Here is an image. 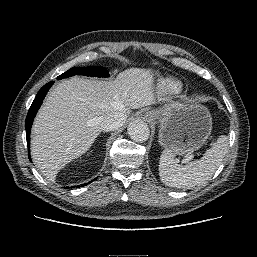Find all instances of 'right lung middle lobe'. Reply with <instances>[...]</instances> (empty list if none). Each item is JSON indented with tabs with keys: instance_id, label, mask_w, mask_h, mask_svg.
Returning <instances> with one entry per match:
<instances>
[{
	"instance_id": "1",
	"label": "right lung middle lobe",
	"mask_w": 257,
	"mask_h": 257,
	"mask_svg": "<svg viewBox=\"0 0 257 257\" xmlns=\"http://www.w3.org/2000/svg\"><path fill=\"white\" fill-rule=\"evenodd\" d=\"M73 75H84L91 77H108V71L103 67L89 66V67H74L69 69L67 72L58 76V79L67 78Z\"/></svg>"
}]
</instances>
